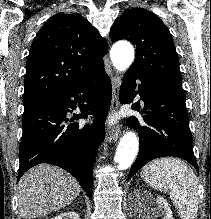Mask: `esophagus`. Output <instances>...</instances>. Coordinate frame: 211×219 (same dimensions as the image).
I'll use <instances>...</instances> for the list:
<instances>
[{
    "mask_svg": "<svg viewBox=\"0 0 211 219\" xmlns=\"http://www.w3.org/2000/svg\"><path fill=\"white\" fill-rule=\"evenodd\" d=\"M112 81V100H111V111L114 113L119 108V90H120V78L118 75H114L111 78ZM121 125L117 124L110 128L108 132V141H116L121 135Z\"/></svg>",
    "mask_w": 211,
    "mask_h": 219,
    "instance_id": "obj_1",
    "label": "esophagus"
}]
</instances>
